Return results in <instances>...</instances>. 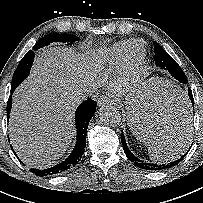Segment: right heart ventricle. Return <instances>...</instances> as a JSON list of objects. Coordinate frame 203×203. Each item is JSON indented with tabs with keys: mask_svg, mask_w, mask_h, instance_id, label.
Returning <instances> with one entry per match:
<instances>
[{
	"mask_svg": "<svg viewBox=\"0 0 203 203\" xmlns=\"http://www.w3.org/2000/svg\"><path fill=\"white\" fill-rule=\"evenodd\" d=\"M130 41H123L100 51L97 55L98 62L109 67H117L123 62Z\"/></svg>",
	"mask_w": 203,
	"mask_h": 203,
	"instance_id": "e07e8e85",
	"label": "right heart ventricle"
}]
</instances>
